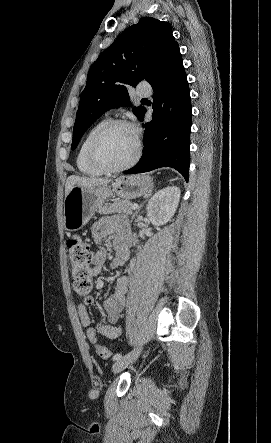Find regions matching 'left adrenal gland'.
<instances>
[{
    "label": "left adrenal gland",
    "mask_w": 271,
    "mask_h": 443,
    "mask_svg": "<svg viewBox=\"0 0 271 443\" xmlns=\"http://www.w3.org/2000/svg\"><path fill=\"white\" fill-rule=\"evenodd\" d=\"M146 202H148V200H146ZM144 204H145V202H144ZM141 208H142V206H140V208H138L136 214H138V212H140ZM132 218H134V216H132Z\"/></svg>",
    "instance_id": "a2214340"
}]
</instances>
